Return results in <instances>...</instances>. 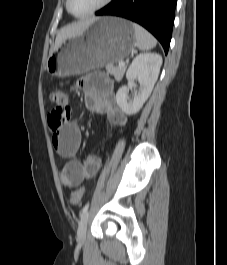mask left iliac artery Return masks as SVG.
Returning <instances> with one entry per match:
<instances>
[{
    "label": "left iliac artery",
    "instance_id": "44dca946",
    "mask_svg": "<svg viewBox=\"0 0 227 265\" xmlns=\"http://www.w3.org/2000/svg\"><path fill=\"white\" fill-rule=\"evenodd\" d=\"M88 208H89V203L85 204V206L83 207L81 211V216H83L87 212Z\"/></svg>",
    "mask_w": 227,
    "mask_h": 265
}]
</instances>
